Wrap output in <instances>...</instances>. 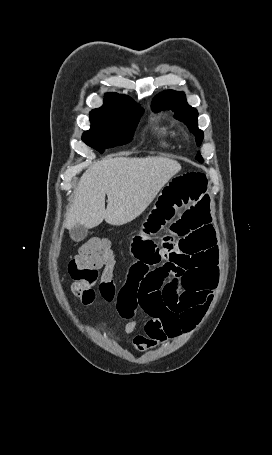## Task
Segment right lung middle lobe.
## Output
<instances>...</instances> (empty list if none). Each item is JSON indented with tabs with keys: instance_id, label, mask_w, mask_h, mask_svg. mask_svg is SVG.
<instances>
[{
	"instance_id": "1",
	"label": "right lung middle lobe",
	"mask_w": 272,
	"mask_h": 455,
	"mask_svg": "<svg viewBox=\"0 0 272 455\" xmlns=\"http://www.w3.org/2000/svg\"><path fill=\"white\" fill-rule=\"evenodd\" d=\"M143 111L133 103L118 111L90 112L91 127L83 133L82 140L100 153L105 148L129 143Z\"/></svg>"
}]
</instances>
